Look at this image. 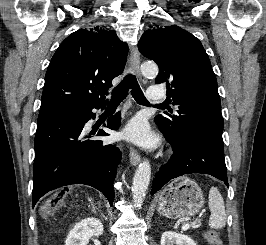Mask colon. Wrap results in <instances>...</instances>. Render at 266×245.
Listing matches in <instances>:
<instances>
[{"label":"colon","mask_w":266,"mask_h":245,"mask_svg":"<svg viewBox=\"0 0 266 245\" xmlns=\"http://www.w3.org/2000/svg\"><path fill=\"white\" fill-rule=\"evenodd\" d=\"M63 203V196L58 194L57 197L50 198L47 200L43 206L42 212L45 215L52 214L59 206ZM207 240L209 245H222V241L219 236L214 232H207L206 233Z\"/></svg>","instance_id":"5ec220e1"}]
</instances>
